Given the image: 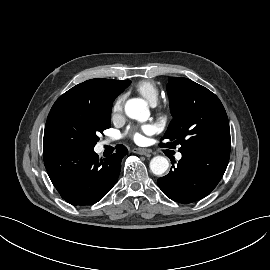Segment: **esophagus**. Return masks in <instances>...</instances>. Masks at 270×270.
I'll use <instances>...</instances> for the list:
<instances>
[{"label": "esophagus", "mask_w": 270, "mask_h": 270, "mask_svg": "<svg viewBox=\"0 0 270 270\" xmlns=\"http://www.w3.org/2000/svg\"><path fill=\"white\" fill-rule=\"evenodd\" d=\"M134 153L139 154V155H145V156H150L151 150L145 149V148H136L133 150Z\"/></svg>", "instance_id": "esophagus-1"}]
</instances>
